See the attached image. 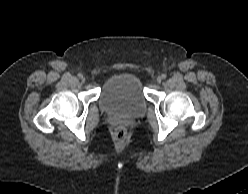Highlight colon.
Instances as JSON below:
<instances>
[{
	"mask_svg": "<svg viewBox=\"0 0 248 194\" xmlns=\"http://www.w3.org/2000/svg\"><path fill=\"white\" fill-rule=\"evenodd\" d=\"M126 131L123 127H118L115 131L114 137L118 144H123L126 140Z\"/></svg>",
	"mask_w": 248,
	"mask_h": 194,
	"instance_id": "5ec220e1",
	"label": "colon"
}]
</instances>
